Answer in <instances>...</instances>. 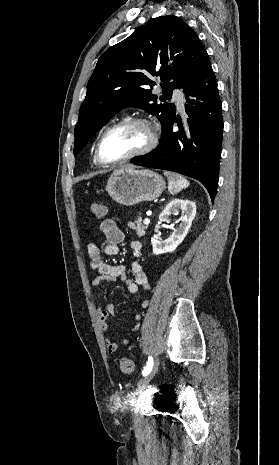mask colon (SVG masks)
Listing matches in <instances>:
<instances>
[{"instance_id": "colon-1", "label": "colon", "mask_w": 279, "mask_h": 465, "mask_svg": "<svg viewBox=\"0 0 279 465\" xmlns=\"http://www.w3.org/2000/svg\"><path fill=\"white\" fill-rule=\"evenodd\" d=\"M91 212L95 218L101 219L107 215L108 209L104 204L95 202L91 205ZM119 367L124 374L130 375L135 371L134 362L129 358H121L119 360Z\"/></svg>"}]
</instances>
